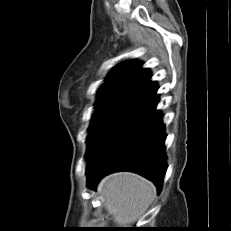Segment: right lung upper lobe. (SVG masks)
I'll return each instance as SVG.
<instances>
[{"instance_id": "cb5924a9", "label": "right lung upper lobe", "mask_w": 231, "mask_h": 231, "mask_svg": "<svg viewBox=\"0 0 231 231\" xmlns=\"http://www.w3.org/2000/svg\"><path fill=\"white\" fill-rule=\"evenodd\" d=\"M158 86L151 81L148 69L138 61H126L116 66L98 90V100L113 97L137 99L153 106L158 103Z\"/></svg>"}]
</instances>
